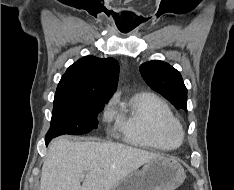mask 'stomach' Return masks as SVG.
<instances>
[{
	"instance_id": "obj_1",
	"label": "stomach",
	"mask_w": 234,
	"mask_h": 190,
	"mask_svg": "<svg viewBox=\"0 0 234 190\" xmlns=\"http://www.w3.org/2000/svg\"><path fill=\"white\" fill-rule=\"evenodd\" d=\"M185 178V171L176 159L160 156L123 177L109 190H175Z\"/></svg>"
}]
</instances>
